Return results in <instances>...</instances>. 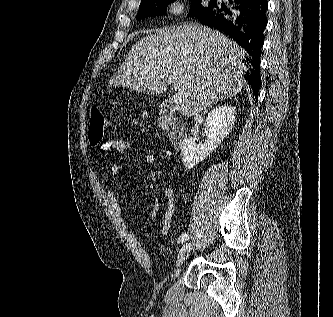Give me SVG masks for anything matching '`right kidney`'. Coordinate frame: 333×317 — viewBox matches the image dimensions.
<instances>
[{
  "instance_id": "ca27d5eb",
  "label": "right kidney",
  "mask_w": 333,
  "mask_h": 317,
  "mask_svg": "<svg viewBox=\"0 0 333 317\" xmlns=\"http://www.w3.org/2000/svg\"><path fill=\"white\" fill-rule=\"evenodd\" d=\"M236 107L221 105L208 113L205 125L208 135L203 144H196L193 138H186L182 144L181 156L186 169H192L210 155L227 137L235 121Z\"/></svg>"
}]
</instances>
